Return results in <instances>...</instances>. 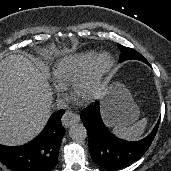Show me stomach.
Returning <instances> with one entry per match:
<instances>
[{
  "instance_id": "obj_1",
  "label": "stomach",
  "mask_w": 171,
  "mask_h": 171,
  "mask_svg": "<svg viewBox=\"0 0 171 171\" xmlns=\"http://www.w3.org/2000/svg\"><path fill=\"white\" fill-rule=\"evenodd\" d=\"M140 115L128 89L121 83H113L106 91L103 100V116L109 126H128Z\"/></svg>"
}]
</instances>
